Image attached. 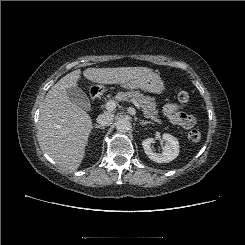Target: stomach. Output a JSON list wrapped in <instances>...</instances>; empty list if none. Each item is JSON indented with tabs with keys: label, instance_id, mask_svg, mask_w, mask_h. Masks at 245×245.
Listing matches in <instances>:
<instances>
[{
	"label": "stomach",
	"instance_id": "0dacf381",
	"mask_svg": "<svg viewBox=\"0 0 245 245\" xmlns=\"http://www.w3.org/2000/svg\"><path fill=\"white\" fill-rule=\"evenodd\" d=\"M121 86L127 89H142L154 94H162L165 91L163 80L154 72L139 76L121 84ZM99 87L101 88L102 86Z\"/></svg>",
	"mask_w": 245,
	"mask_h": 245
}]
</instances>
